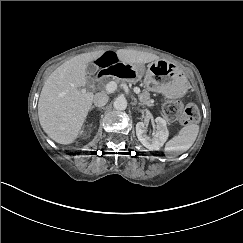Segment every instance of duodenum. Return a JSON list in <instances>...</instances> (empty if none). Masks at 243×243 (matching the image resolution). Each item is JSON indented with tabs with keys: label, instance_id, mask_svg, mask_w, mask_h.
Segmentation results:
<instances>
[{
	"label": "duodenum",
	"instance_id": "duodenum-1",
	"mask_svg": "<svg viewBox=\"0 0 243 243\" xmlns=\"http://www.w3.org/2000/svg\"><path fill=\"white\" fill-rule=\"evenodd\" d=\"M137 74V69L134 65L128 63H120L114 65L110 68L101 70L98 73L97 78H105V77H112L116 79L127 80L134 78Z\"/></svg>",
	"mask_w": 243,
	"mask_h": 243
}]
</instances>
